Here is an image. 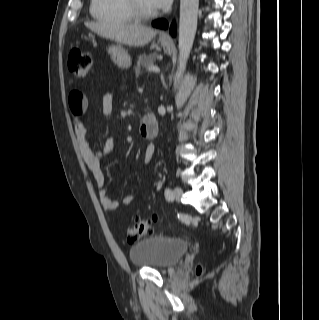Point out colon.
I'll list each match as a JSON object with an SVG mask.
<instances>
[{
    "instance_id": "colon-1",
    "label": "colon",
    "mask_w": 319,
    "mask_h": 320,
    "mask_svg": "<svg viewBox=\"0 0 319 320\" xmlns=\"http://www.w3.org/2000/svg\"><path fill=\"white\" fill-rule=\"evenodd\" d=\"M92 56L90 53L80 49H72L68 66L71 73L78 78L86 77L91 69ZM158 216L153 215L149 219H135L133 223L126 229V236L129 241H135L144 235L154 233L158 228Z\"/></svg>"
}]
</instances>
